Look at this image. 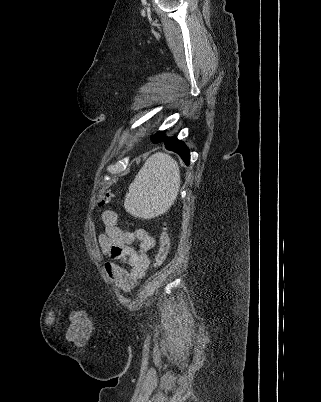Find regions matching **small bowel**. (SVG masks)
Returning a JSON list of instances; mask_svg holds the SVG:
<instances>
[{
  "instance_id": "1",
  "label": "small bowel",
  "mask_w": 321,
  "mask_h": 402,
  "mask_svg": "<svg viewBox=\"0 0 321 402\" xmlns=\"http://www.w3.org/2000/svg\"><path fill=\"white\" fill-rule=\"evenodd\" d=\"M104 232L98 236V244L110 260L105 264L107 276L122 290L131 291L143 279L150 265L148 251L155 246V238L143 228L128 231L120 226L119 217L112 210H104L99 215ZM135 245L137 247H135ZM67 339L74 341L76 350L84 352L92 328L89 313L78 308L72 313Z\"/></svg>"
}]
</instances>
